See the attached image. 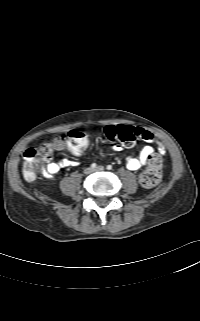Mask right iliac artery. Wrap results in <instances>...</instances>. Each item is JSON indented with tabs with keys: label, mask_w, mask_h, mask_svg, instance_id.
I'll return each instance as SVG.
<instances>
[{
	"label": "right iliac artery",
	"mask_w": 200,
	"mask_h": 321,
	"mask_svg": "<svg viewBox=\"0 0 200 321\" xmlns=\"http://www.w3.org/2000/svg\"><path fill=\"white\" fill-rule=\"evenodd\" d=\"M97 167V164L96 163H92L91 164V168H96Z\"/></svg>",
	"instance_id": "1"
}]
</instances>
